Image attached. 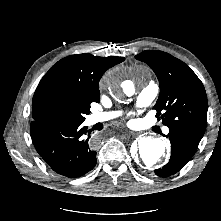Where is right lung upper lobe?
<instances>
[{
    "label": "right lung upper lobe",
    "mask_w": 221,
    "mask_h": 221,
    "mask_svg": "<svg viewBox=\"0 0 221 221\" xmlns=\"http://www.w3.org/2000/svg\"><path fill=\"white\" fill-rule=\"evenodd\" d=\"M124 57H99L89 53L65 57L53 65L38 84L32 100L33 121H40L35 106L40 95L49 87H61L70 91L100 98L99 80L106 70L124 61Z\"/></svg>",
    "instance_id": "1"
}]
</instances>
